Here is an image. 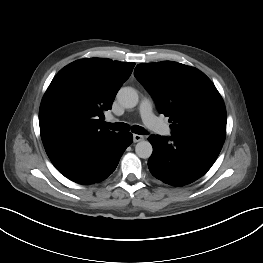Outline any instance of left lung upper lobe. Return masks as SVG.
Listing matches in <instances>:
<instances>
[{"label": "left lung upper lobe", "mask_w": 263, "mask_h": 263, "mask_svg": "<svg viewBox=\"0 0 263 263\" xmlns=\"http://www.w3.org/2000/svg\"><path fill=\"white\" fill-rule=\"evenodd\" d=\"M135 77L169 117L172 133L224 143L226 109L211 80L200 70L173 61L139 64Z\"/></svg>", "instance_id": "5c2ea615"}]
</instances>
